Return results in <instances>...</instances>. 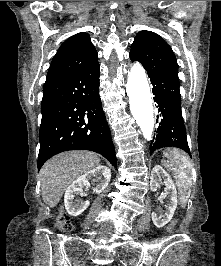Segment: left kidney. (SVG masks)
<instances>
[{"label":"left kidney","mask_w":221,"mask_h":266,"mask_svg":"<svg viewBox=\"0 0 221 266\" xmlns=\"http://www.w3.org/2000/svg\"><path fill=\"white\" fill-rule=\"evenodd\" d=\"M159 183L165 185V194L162 197L166 196L168 197L166 211L161 216H157L155 212H152L151 216L154 225L158 228H162L172 219L174 212L176 210L177 190L171 177L165 171V169H163V167H161L160 165H156L151 172V177H150L151 189L157 188Z\"/></svg>","instance_id":"left-kidney-1"}]
</instances>
